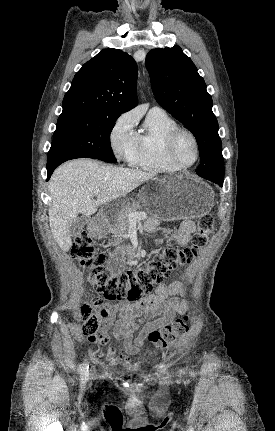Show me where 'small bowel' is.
<instances>
[{
	"mask_svg": "<svg viewBox=\"0 0 275 431\" xmlns=\"http://www.w3.org/2000/svg\"><path fill=\"white\" fill-rule=\"evenodd\" d=\"M145 227L147 231L154 232L158 229V223L151 219L146 222ZM194 231V222L185 220L170 231L168 239L176 245L183 246L188 243ZM109 267L114 274L120 271L122 267L120 249L110 256ZM181 289L179 281H171L160 284L154 294L138 301L105 305L100 312L102 324L99 332L95 337L89 338V341L106 344L110 341L111 334L121 340L123 344L118 354L112 348L107 352V357L111 361H117L125 354L139 353L151 331L172 323L176 316L185 310V303L175 297Z\"/></svg>",
	"mask_w": 275,
	"mask_h": 431,
	"instance_id": "c3829d8e",
	"label": "small bowel"
}]
</instances>
